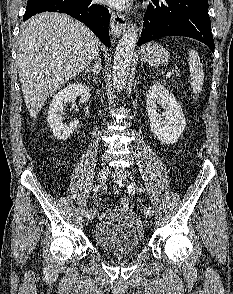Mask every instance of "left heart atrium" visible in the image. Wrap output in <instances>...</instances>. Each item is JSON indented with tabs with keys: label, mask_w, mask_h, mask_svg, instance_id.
I'll return each instance as SVG.
<instances>
[{
	"label": "left heart atrium",
	"mask_w": 233,
	"mask_h": 294,
	"mask_svg": "<svg viewBox=\"0 0 233 294\" xmlns=\"http://www.w3.org/2000/svg\"><path fill=\"white\" fill-rule=\"evenodd\" d=\"M102 3L114 6L116 8H126L129 6L131 0H100Z\"/></svg>",
	"instance_id": "left-heart-atrium-1"
}]
</instances>
